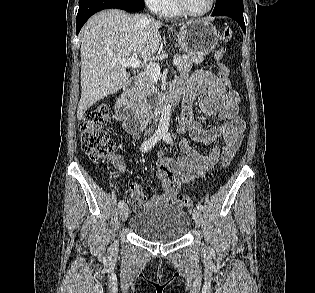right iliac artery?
Instances as JSON below:
<instances>
[{
  "label": "right iliac artery",
  "mask_w": 315,
  "mask_h": 293,
  "mask_svg": "<svg viewBox=\"0 0 315 293\" xmlns=\"http://www.w3.org/2000/svg\"><path fill=\"white\" fill-rule=\"evenodd\" d=\"M162 133L161 132H156L153 136H151L149 139L143 142L141 145V151L142 152H147L150 150L158 141L162 139ZM125 205L124 201H120L118 203L119 208H122Z\"/></svg>",
  "instance_id": "obj_1"
}]
</instances>
